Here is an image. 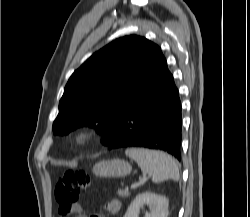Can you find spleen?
I'll use <instances>...</instances> for the list:
<instances>
[{"label": "spleen", "mask_w": 250, "mask_h": 217, "mask_svg": "<svg viewBox=\"0 0 250 217\" xmlns=\"http://www.w3.org/2000/svg\"><path fill=\"white\" fill-rule=\"evenodd\" d=\"M125 154L137 162L143 173L150 174L153 182L158 183L168 179L177 181L180 177L175 159L165 152L128 148Z\"/></svg>", "instance_id": "obj_1"}]
</instances>
